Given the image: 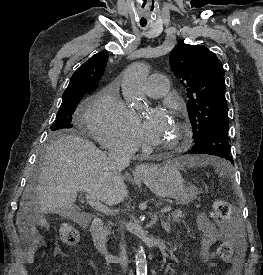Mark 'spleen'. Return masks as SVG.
I'll return each mask as SVG.
<instances>
[{"mask_svg":"<svg viewBox=\"0 0 263 275\" xmlns=\"http://www.w3.org/2000/svg\"><path fill=\"white\" fill-rule=\"evenodd\" d=\"M184 164H188L190 166L192 165H201V166H205L207 164H211L214 166L215 171L217 172V174L221 177L223 176H230V171H231V165L223 160H209V161H194V160H189V161H185L182 162L181 164L178 163V167H183Z\"/></svg>","mask_w":263,"mask_h":275,"instance_id":"3e777b00","label":"spleen"}]
</instances>
